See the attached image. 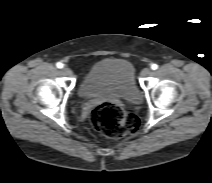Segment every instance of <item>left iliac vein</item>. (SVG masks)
I'll return each instance as SVG.
<instances>
[{"label": "left iliac vein", "mask_w": 212, "mask_h": 183, "mask_svg": "<svg viewBox=\"0 0 212 183\" xmlns=\"http://www.w3.org/2000/svg\"><path fill=\"white\" fill-rule=\"evenodd\" d=\"M151 74V69L150 68H144L143 70H142V72H141V76L142 77H147V76H149Z\"/></svg>", "instance_id": "obj_1"}]
</instances>
